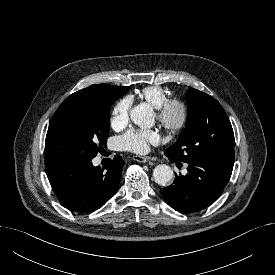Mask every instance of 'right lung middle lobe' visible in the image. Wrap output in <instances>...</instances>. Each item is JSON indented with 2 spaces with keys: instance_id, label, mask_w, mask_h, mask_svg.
Listing matches in <instances>:
<instances>
[{
  "instance_id": "obj_1",
  "label": "right lung middle lobe",
  "mask_w": 275,
  "mask_h": 275,
  "mask_svg": "<svg viewBox=\"0 0 275 275\" xmlns=\"http://www.w3.org/2000/svg\"><path fill=\"white\" fill-rule=\"evenodd\" d=\"M130 87L103 100L58 108L45 140V160L59 157L93 159L106 146L110 107Z\"/></svg>"
}]
</instances>
